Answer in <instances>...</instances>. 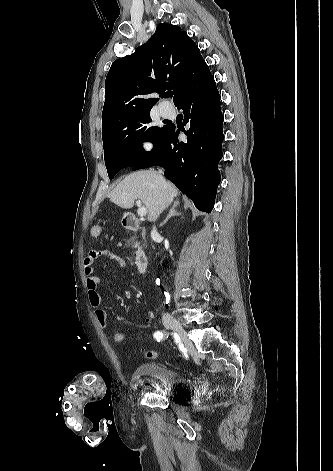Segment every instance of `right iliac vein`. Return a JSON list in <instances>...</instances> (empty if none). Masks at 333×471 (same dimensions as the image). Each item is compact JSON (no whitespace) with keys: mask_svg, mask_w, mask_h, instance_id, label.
Returning a JSON list of instances; mask_svg holds the SVG:
<instances>
[{"mask_svg":"<svg viewBox=\"0 0 333 471\" xmlns=\"http://www.w3.org/2000/svg\"><path fill=\"white\" fill-rule=\"evenodd\" d=\"M162 322L164 324V326L167 328V329H171V330H174L176 331L179 336H180V339L182 342H186L187 341V333L186 331L184 330V328L182 327V325L175 319L173 318L171 315L169 314H165L163 317H162Z\"/></svg>","mask_w":333,"mask_h":471,"instance_id":"right-iliac-vein-1","label":"right iliac vein"}]
</instances>
